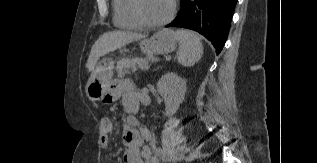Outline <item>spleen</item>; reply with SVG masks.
Wrapping results in <instances>:
<instances>
[{
	"instance_id": "3e777b00",
	"label": "spleen",
	"mask_w": 317,
	"mask_h": 163,
	"mask_svg": "<svg viewBox=\"0 0 317 163\" xmlns=\"http://www.w3.org/2000/svg\"><path fill=\"white\" fill-rule=\"evenodd\" d=\"M176 35L179 42L178 62L185 67L193 66L203 55V45L199 36L184 29H178Z\"/></svg>"
}]
</instances>
